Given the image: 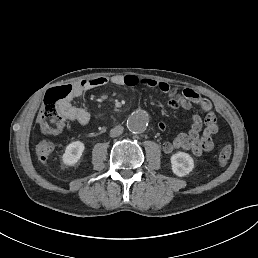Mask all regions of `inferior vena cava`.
Segmentation results:
<instances>
[{
	"label": "inferior vena cava",
	"instance_id": "inferior-vena-cava-1",
	"mask_svg": "<svg viewBox=\"0 0 258 258\" xmlns=\"http://www.w3.org/2000/svg\"><path fill=\"white\" fill-rule=\"evenodd\" d=\"M124 131L123 126H116L113 129L110 130V136L111 137H117L120 136Z\"/></svg>",
	"mask_w": 258,
	"mask_h": 258
}]
</instances>
